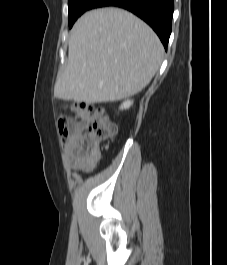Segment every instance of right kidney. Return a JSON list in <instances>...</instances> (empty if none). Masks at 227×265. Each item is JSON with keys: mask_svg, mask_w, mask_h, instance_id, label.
<instances>
[{"mask_svg": "<svg viewBox=\"0 0 227 265\" xmlns=\"http://www.w3.org/2000/svg\"><path fill=\"white\" fill-rule=\"evenodd\" d=\"M133 104V101L131 100H127L125 102H123V104L121 105L120 109H128L131 105Z\"/></svg>", "mask_w": 227, "mask_h": 265, "instance_id": "obj_1", "label": "right kidney"}]
</instances>
